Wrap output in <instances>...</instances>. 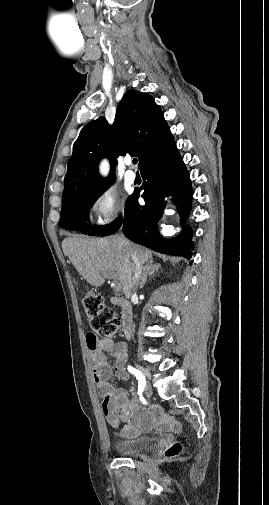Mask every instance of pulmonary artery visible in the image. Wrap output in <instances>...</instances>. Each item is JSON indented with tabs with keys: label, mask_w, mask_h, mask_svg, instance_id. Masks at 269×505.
Wrapping results in <instances>:
<instances>
[{
	"label": "pulmonary artery",
	"mask_w": 269,
	"mask_h": 505,
	"mask_svg": "<svg viewBox=\"0 0 269 505\" xmlns=\"http://www.w3.org/2000/svg\"><path fill=\"white\" fill-rule=\"evenodd\" d=\"M126 164L128 166L131 165V160L128 159L126 160ZM135 179H136V175L134 173V171H132L131 169H128L126 172H125V180L128 182V183H134L135 182Z\"/></svg>",
	"instance_id": "e3ab8cb5"
}]
</instances>
